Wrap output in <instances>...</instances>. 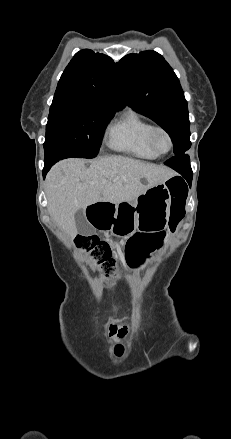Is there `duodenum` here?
<instances>
[{"mask_svg": "<svg viewBox=\"0 0 231 439\" xmlns=\"http://www.w3.org/2000/svg\"><path fill=\"white\" fill-rule=\"evenodd\" d=\"M110 203H97L93 205V214L91 215L90 221L93 224L92 220H102L107 214L109 210Z\"/></svg>", "mask_w": 231, "mask_h": 439, "instance_id": "obj_1", "label": "duodenum"}]
</instances>
